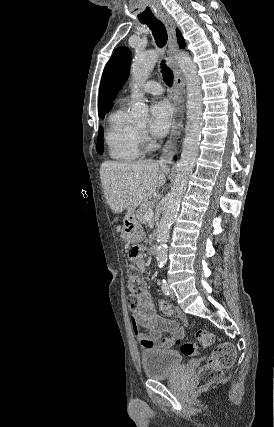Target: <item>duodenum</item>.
<instances>
[{
    "label": "duodenum",
    "mask_w": 274,
    "mask_h": 427,
    "mask_svg": "<svg viewBox=\"0 0 274 427\" xmlns=\"http://www.w3.org/2000/svg\"><path fill=\"white\" fill-rule=\"evenodd\" d=\"M157 251H158L157 246H153V247L151 248V253H152L153 255H156V254H157Z\"/></svg>",
    "instance_id": "duodenum-1"
}]
</instances>
